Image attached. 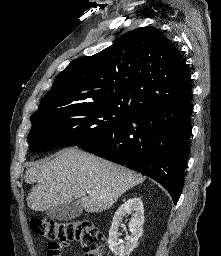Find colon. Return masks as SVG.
Here are the masks:
<instances>
[{"label": "colon", "instance_id": "colon-1", "mask_svg": "<svg viewBox=\"0 0 221 256\" xmlns=\"http://www.w3.org/2000/svg\"><path fill=\"white\" fill-rule=\"evenodd\" d=\"M33 232L49 241V253L60 254L71 242H77L85 256H102L104 235L89 220L55 221L45 217L30 220Z\"/></svg>", "mask_w": 221, "mask_h": 256}]
</instances>
